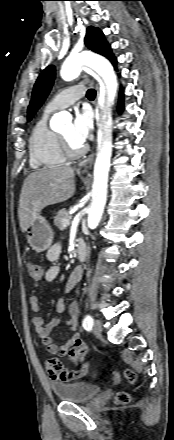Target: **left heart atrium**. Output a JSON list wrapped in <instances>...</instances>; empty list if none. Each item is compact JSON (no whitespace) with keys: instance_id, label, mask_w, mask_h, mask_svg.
I'll return each mask as SVG.
<instances>
[{"instance_id":"39dd6f15","label":"left heart atrium","mask_w":174,"mask_h":440,"mask_svg":"<svg viewBox=\"0 0 174 440\" xmlns=\"http://www.w3.org/2000/svg\"><path fill=\"white\" fill-rule=\"evenodd\" d=\"M92 130V115L88 109H80L75 112L74 121L71 125L70 137L73 143L83 146Z\"/></svg>"}]
</instances>
